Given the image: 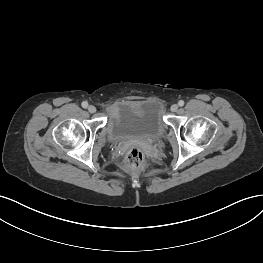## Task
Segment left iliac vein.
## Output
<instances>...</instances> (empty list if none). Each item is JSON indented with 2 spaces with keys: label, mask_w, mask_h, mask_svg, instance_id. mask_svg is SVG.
<instances>
[{
  "label": "left iliac vein",
  "mask_w": 263,
  "mask_h": 263,
  "mask_svg": "<svg viewBox=\"0 0 263 263\" xmlns=\"http://www.w3.org/2000/svg\"><path fill=\"white\" fill-rule=\"evenodd\" d=\"M170 109H171L172 112H176L178 110V105L177 104H173Z\"/></svg>",
  "instance_id": "1"
}]
</instances>
